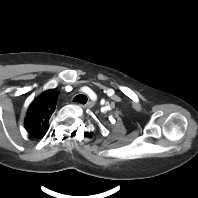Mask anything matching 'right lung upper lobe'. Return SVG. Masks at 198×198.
Segmentation results:
<instances>
[{
	"instance_id": "obj_1",
	"label": "right lung upper lobe",
	"mask_w": 198,
	"mask_h": 198,
	"mask_svg": "<svg viewBox=\"0 0 198 198\" xmlns=\"http://www.w3.org/2000/svg\"><path fill=\"white\" fill-rule=\"evenodd\" d=\"M58 94L55 89L47 90L30 104L25 128L32 137L39 138L46 131L49 119L56 109Z\"/></svg>"
}]
</instances>
